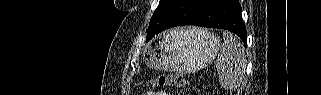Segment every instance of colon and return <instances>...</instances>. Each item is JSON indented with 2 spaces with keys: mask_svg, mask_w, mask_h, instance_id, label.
I'll return each mask as SVG.
<instances>
[{
  "mask_svg": "<svg viewBox=\"0 0 321 95\" xmlns=\"http://www.w3.org/2000/svg\"><path fill=\"white\" fill-rule=\"evenodd\" d=\"M152 86H177L183 87L187 84V80L179 74H161L157 75L150 80Z\"/></svg>",
  "mask_w": 321,
  "mask_h": 95,
  "instance_id": "1",
  "label": "colon"
}]
</instances>
